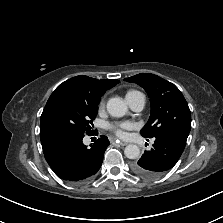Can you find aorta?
<instances>
[{"label": "aorta", "instance_id": "obj_1", "mask_svg": "<svg viewBox=\"0 0 223 223\" xmlns=\"http://www.w3.org/2000/svg\"><path fill=\"white\" fill-rule=\"evenodd\" d=\"M107 111L114 117H122L127 113L128 107L120 97H114L108 100ZM124 154L129 159H136L140 155V149L135 144H129L125 147Z\"/></svg>", "mask_w": 223, "mask_h": 223}]
</instances>
